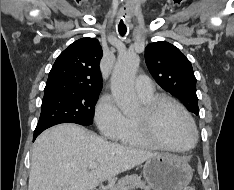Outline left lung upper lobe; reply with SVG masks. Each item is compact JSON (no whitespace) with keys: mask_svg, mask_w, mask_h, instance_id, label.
I'll use <instances>...</instances> for the list:
<instances>
[{"mask_svg":"<svg viewBox=\"0 0 234 190\" xmlns=\"http://www.w3.org/2000/svg\"><path fill=\"white\" fill-rule=\"evenodd\" d=\"M145 61L163 89L181 100L189 111L199 113L193 68L177 47L165 41L150 43L145 49Z\"/></svg>","mask_w":234,"mask_h":190,"instance_id":"5c2ea615","label":"left lung upper lobe"}]
</instances>
